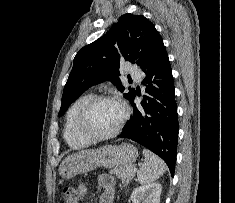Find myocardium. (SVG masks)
Listing matches in <instances>:
<instances>
[{
  "label": "myocardium",
  "instance_id": "myocardium-1",
  "mask_svg": "<svg viewBox=\"0 0 235 203\" xmlns=\"http://www.w3.org/2000/svg\"><path fill=\"white\" fill-rule=\"evenodd\" d=\"M102 101H111V102L118 103L122 107V110H123L122 118L120 122L118 123V125L116 126V128L112 130L111 132L106 133V134H100V135L93 134L85 129L84 124H85L89 111L97 103L102 102ZM129 116H130V109L123 100L112 95H95L91 97L80 109L77 115V119H76V131L80 136H82L83 138L87 139L90 142L107 140V139L115 137L122 131L123 127L125 126V124L127 123L129 119Z\"/></svg>",
  "mask_w": 235,
  "mask_h": 203
}]
</instances>
